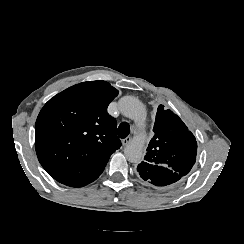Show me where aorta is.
Wrapping results in <instances>:
<instances>
[{
    "label": "aorta",
    "mask_w": 244,
    "mask_h": 244,
    "mask_svg": "<svg viewBox=\"0 0 244 244\" xmlns=\"http://www.w3.org/2000/svg\"><path fill=\"white\" fill-rule=\"evenodd\" d=\"M119 107L122 114L138 124H142L146 117L143 104L134 97L125 96L120 99ZM144 139L135 137L124 149V154L129 162L139 163L143 158Z\"/></svg>",
    "instance_id": "762f6f07"
}]
</instances>
